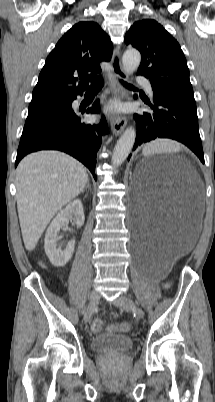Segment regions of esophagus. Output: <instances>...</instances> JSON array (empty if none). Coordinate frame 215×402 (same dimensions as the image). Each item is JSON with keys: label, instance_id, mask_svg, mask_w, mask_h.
I'll list each match as a JSON object with an SVG mask.
<instances>
[{"label": "esophagus", "instance_id": "1", "mask_svg": "<svg viewBox=\"0 0 215 402\" xmlns=\"http://www.w3.org/2000/svg\"><path fill=\"white\" fill-rule=\"evenodd\" d=\"M113 71V91L116 96L126 100L128 98L127 91L121 86L120 80H126L127 73L124 70L120 60V49L117 48L111 59ZM127 123L125 116H113L111 119V129L115 135H119L125 128Z\"/></svg>", "mask_w": 215, "mask_h": 402}]
</instances>
